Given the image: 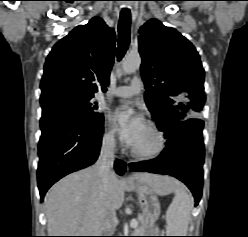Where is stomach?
<instances>
[{
    "label": "stomach",
    "mask_w": 248,
    "mask_h": 237,
    "mask_svg": "<svg viewBox=\"0 0 248 237\" xmlns=\"http://www.w3.org/2000/svg\"><path fill=\"white\" fill-rule=\"evenodd\" d=\"M174 186L175 184H167L161 189L160 192H157L148 184L140 183L137 185L136 190L138 201L140 204L142 215L148 224V231L153 227L155 221L160 215L161 207L158 200V195H165L170 193L173 190Z\"/></svg>",
    "instance_id": "0dacf381"
}]
</instances>
